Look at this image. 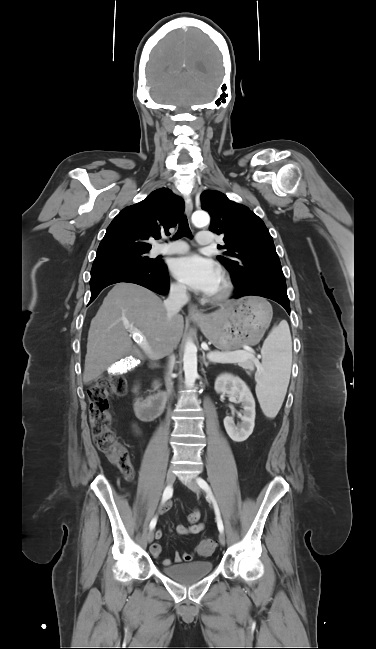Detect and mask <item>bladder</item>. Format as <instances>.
Wrapping results in <instances>:
<instances>
[{
  "label": "bladder",
  "instance_id": "obj_1",
  "mask_svg": "<svg viewBox=\"0 0 376 649\" xmlns=\"http://www.w3.org/2000/svg\"><path fill=\"white\" fill-rule=\"evenodd\" d=\"M213 570L210 561H194L178 565H170L162 569V572L172 580L191 584L208 576Z\"/></svg>",
  "mask_w": 376,
  "mask_h": 649
}]
</instances>
